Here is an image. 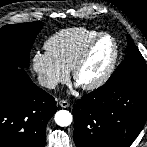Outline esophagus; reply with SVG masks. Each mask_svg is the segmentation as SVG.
Wrapping results in <instances>:
<instances>
[{
    "mask_svg": "<svg viewBox=\"0 0 147 147\" xmlns=\"http://www.w3.org/2000/svg\"><path fill=\"white\" fill-rule=\"evenodd\" d=\"M59 105L62 107V108H68L70 106V103L67 101V100H60L59 101Z\"/></svg>",
    "mask_w": 147,
    "mask_h": 147,
    "instance_id": "34e87169",
    "label": "esophagus"
}]
</instances>
